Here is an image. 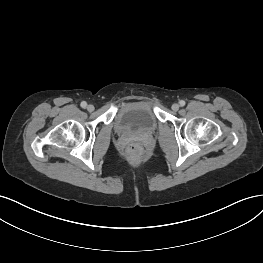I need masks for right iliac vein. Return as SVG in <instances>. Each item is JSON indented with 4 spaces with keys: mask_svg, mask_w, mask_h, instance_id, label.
<instances>
[{
    "mask_svg": "<svg viewBox=\"0 0 263 263\" xmlns=\"http://www.w3.org/2000/svg\"><path fill=\"white\" fill-rule=\"evenodd\" d=\"M87 110L89 111V112H92V111H94V106L93 105H88L87 106Z\"/></svg>",
    "mask_w": 263,
    "mask_h": 263,
    "instance_id": "right-iliac-vein-1",
    "label": "right iliac vein"
}]
</instances>
